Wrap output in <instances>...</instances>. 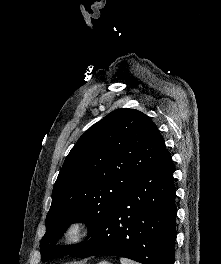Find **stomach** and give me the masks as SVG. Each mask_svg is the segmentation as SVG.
Listing matches in <instances>:
<instances>
[{
	"mask_svg": "<svg viewBox=\"0 0 221 264\" xmlns=\"http://www.w3.org/2000/svg\"><path fill=\"white\" fill-rule=\"evenodd\" d=\"M98 264H111V263L110 262H107V261H102V262H100Z\"/></svg>",
	"mask_w": 221,
	"mask_h": 264,
	"instance_id": "stomach-1",
	"label": "stomach"
}]
</instances>
